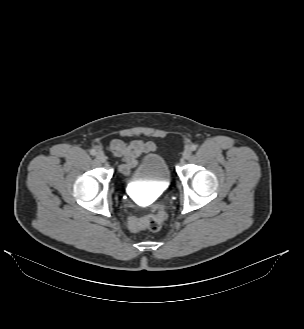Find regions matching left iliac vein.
<instances>
[{"mask_svg": "<svg viewBox=\"0 0 304 329\" xmlns=\"http://www.w3.org/2000/svg\"><path fill=\"white\" fill-rule=\"evenodd\" d=\"M190 156H191V149H185L184 151H183V158L185 159V160H187V159H189L190 158Z\"/></svg>", "mask_w": 304, "mask_h": 329, "instance_id": "4c4485c4", "label": "left iliac vein"}]
</instances>
